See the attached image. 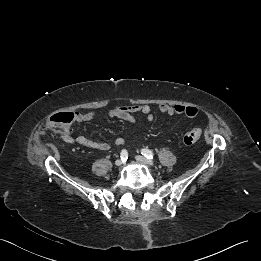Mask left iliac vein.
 I'll list each match as a JSON object with an SVG mask.
<instances>
[{"mask_svg": "<svg viewBox=\"0 0 261 261\" xmlns=\"http://www.w3.org/2000/svg\"><path fill=\"white\" fill-rule=\"evenodd\" d=\"M136 160L142 164L148 165V166H153V162L143 156H136Z\"/></svg>", "mask_w": 261, "mask_h": 261, "instance_id": "4c4485c4", "label": "left iliac vein"}]
</instances>
